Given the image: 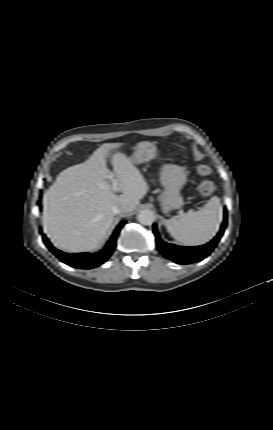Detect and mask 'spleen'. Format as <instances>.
Here are the masks:
<instances>
[{
    "mask_svg": "<svg viewBox=\"0 0 273 430\" xmlns=\"http://www.w3.org/2000/svg\"><path fill=\"white\" fill-rule=\"evenodd\" d=\"M222 206L220 199L213 196L204 207L190 210L166 220L170 235L184 245H201L210 241L216 234L221 221Z\"/></svg>",
    "mask_w": 273,
    "mask_h": 430,
    "instance_id": "3e777b00",
    "label": "spleen"
}]
</instances>
